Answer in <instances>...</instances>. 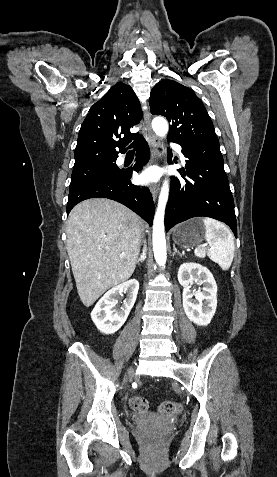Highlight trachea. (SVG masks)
<instances>
[{
    "label": "trachea",
    "instance_id": "obj_1",
    "mask_svg": "<svg viewBox=\"0 0 277 477\" xmlns=\"http://www.w3.org/2000/svg\"><path fill=\"white\" fill-rule=\"evenodd\" d=\"M129 153H133V150L129 151Z\"/></svg>",
    "mask_w": 277,
    "mask_h": 477
}]
</instances>
